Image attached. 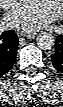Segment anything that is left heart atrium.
Instances as JSON below:
<instances>
[{"instance_id":"1","label":"left heart atrium","mask_w":63,"mask_h":107,"mask_svg":"<svg viewBox=\"0 0 63 107\" xmlns=\"http://www.w3.org/2000/svg\"><path fill=\"white\" fill-rule=\"evenodd\" d=\"M9 20L12 23L23 26L27 29H32L47 20V17L44 16L42 11L36 10L32 7H21L14 10Z\"/></svg>"}]
</instances>
